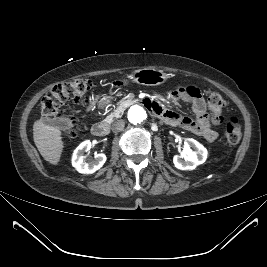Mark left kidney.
Returning <instances> with one entry per match:
<instances>
[{
    "mask_svg": "<svg viewBox=\"0 0 267 267\" xmlns=\"http://www.w3.org/2000/svg\"><path fill=\"white\" fill-rule=\"evenodd\" d=\"M191 147L194 149L192 150ZM207 159L206 148L192 138L184 140V149L181 155L173 157V163L177 169L193 170Z\"/></svg>",
    "mask_w": 267,
    "mask_h": 267,
    "instance_id": "1",
    "label": "left kidney"
}]
</instances>
